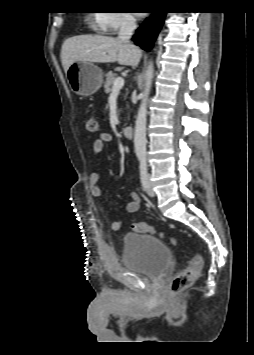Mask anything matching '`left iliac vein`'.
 Instances as JSON below:
<instances>
[{
    "label": "left iliac vein",
    "instance_id": "left-iliac-vein-1",
    "mask_svg": "<svg viewBox=\"0 0 254 355\" xmlns=\"http://www.w3.org/2000/svg\"><path fill=\"white\" fill-rule=\"evenodd\" d=\"M149 175L147 176V194L151 197H154L155 196V192L154 190L152 189V186L150 184V179H149Z\"/></svg>",
    "mask_w": 254,
    "mask_h": 355
}]
</instances>
